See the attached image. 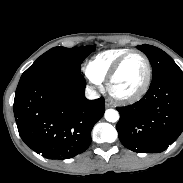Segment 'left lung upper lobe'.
Instances as JSON below:
<instances>
[{
    "mask_svg": "<svg viewBox=\"0 0 183 183\" xmlns=\"http://www.w3.org/2000/svg\"><path fill=\"white\" fill-rule=\"evenodd\" d=\"M137 48L144 52L150 60L153 69L152 79L180 69L167 53L155 46L144 44L137 46Z\"/></svg>",
    "mask_w": 183,
    "mask_h": 183,
    "instance_id": "left-lung-upper-lobe-1",
    "label": "left lung upper lobe"
}]
</instances>
